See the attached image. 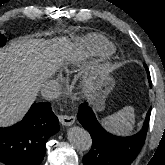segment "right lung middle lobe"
Here are the masks:
<instances>
[{
  "label": "right lung middle lobe",
  "instance_id": "dd1d6c3e",
  "mask_svg": "<svg viewBox=\"0 0 165 165\" xmlns=\"http://www.w3.org/2000/svg\"><path fill=\"white\" fill-rule=\"evenodd\" d=\"M6 43V38L3 34L0 33V47L4 46Z\"/></svg>",
  "mask_w": 165,
  "mask_h": 165
}]
</instances>
